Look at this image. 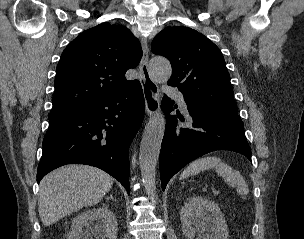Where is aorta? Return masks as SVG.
Segmentation results:
<instances>
[{
	"mask_svg": "<svg viewBox=\"0 0 304 239\" xmlns=\"http://www.w3.org/2000/svg\"><path fill=\"white\" fill-rule=\"evenodd\" d=\"M150 72L156 82H166L172 74L171 64L164 57H154L150 61ZM164 132L165 118L161 112L156 111L145 127L139 153L142 182L150 198L156 197L155 174Z\"/></svg>",
	"mask_w": 304,
	"mask_h": 239,
	"instance_id": "aorta-1",
	"label": "aorta"
}]
</instances>
